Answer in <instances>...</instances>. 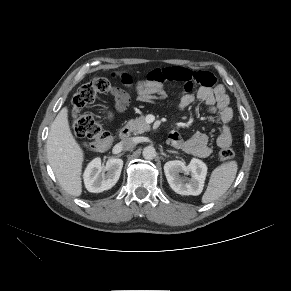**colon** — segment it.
Segmentation results:
<instances>
[{
    "label": "colon",
    "mask_w": 291,
    "mask_h": 291,
    "mask_svg": "<svg viewBox=\"0 0 291 291\" xmlns=\"http://www.w3.org/2000/svg\"><path fill=\"white\" fill-rule=\"evenodd\" d=\"M123 84H130L122 79ZM112 89V82L104 76H95L88 83L82 85L72 99L71 118L73 130L77 136L90 141L85 148L90 151H102L109 147L112 141L111 134L105 130L84 109L91 104L98 94L107 93ZM218 157L222 161L234 158V151L229 146L221 147Z\"/></svg>",
    "instance_id": "obj_1"
}]
</instances>
